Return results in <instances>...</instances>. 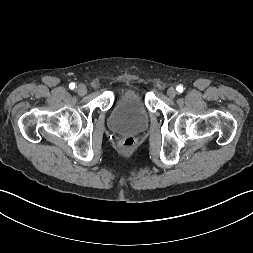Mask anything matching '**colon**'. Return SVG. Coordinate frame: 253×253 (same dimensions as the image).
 Wrapping results in <instances>:
<instances>
[{
	"label": "colon",
	"mask_w": 253,
	"mask_h": 253,
	"mask_svg": "<svg viewBox=\"0 0 253 253\" xmlns=\"http://www.w3.org/2000/svg\"><path fill=\"white\" fill-rule=\"evenodd\" d=\"M135 145V140L132 137H127L120 142V148L123 151H130Z\"/></svg>",
	"instance_id": "colon-1"
}]
</instances>
